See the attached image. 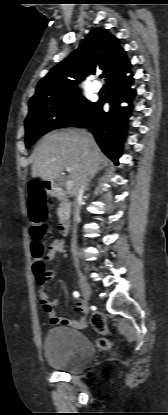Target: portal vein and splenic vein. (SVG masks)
Listing matches in <instances>:
<instances>
[{
  "instance_id": "18ae733b",
  "label": "portal vein and splenic vein",
  "mask_w": 168,
  "mask_h": 415,
  "mask_svg": "<svg viewBox=\"0 0 168 415\" xmlns=\"http://www.w3.org/2000/svg\"><path fill=\"white\" fill-rule=\"evenodd\" d=\"M66 170H67L68 172H70V171H71V169H70L69 167H67V168H66ZM72 187H73V182H72L71 180H68V181L66 182V189H67V190H71V189H72Z\"/></svg>"
}]
</instances>
